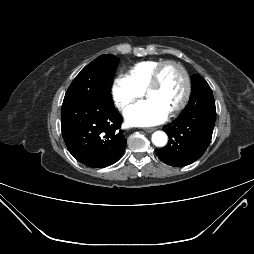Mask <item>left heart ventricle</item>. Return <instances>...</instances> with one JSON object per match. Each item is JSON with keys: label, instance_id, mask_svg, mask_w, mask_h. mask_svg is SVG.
<instances>
[{"label": "left heart ventricle", "instance_id": "1", "mask_svg": "<svg viewBox=\"0 0 254 254\" xmlns=\"http://www.w3.org/2000/svg\"><path fill=\"white\" fill-rule=\"evenodd\" d=\"M183 92L184 80L180 70L169 65L162 72L159 86L149 92L147 97L170 112L180 102Z\"/></svg>", "mask_w": 254, "mask_h": 254}]
</instances>
